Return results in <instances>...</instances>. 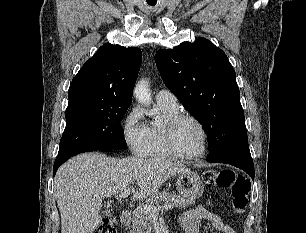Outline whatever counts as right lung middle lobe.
Returning <instances> with one entry per match:
<instances>
[{
  "mask_svg": "<svg viewBox=\"0 0 306 233\" xmlns=\"http://www.w3.org/2000/svg\"><path fill=\"white\" fill-rule=\"evenodd\" d=\"M130 105L87 100L68 104L56 159L82 150L125 149L121 120Z\"/></svg>",
  "mask_w": 306,
  "mask_h": 233,
  "instance_id": "dd1d6c3e",
  "label": "right lung middle lobe"
}]
</instances>
